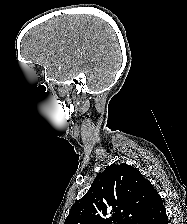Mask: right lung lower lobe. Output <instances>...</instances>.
I'll return each instance as SVG.
<instances>
[{"label":"right lung lower lobe","instance_id":"right-lung-lower-lobe-1","mask_svg":"<svg viewBox=\"0 0 187 224\" xmlns=\"http://www.w3.org/2000/svg\"><path fill=\"white\" fill-rule=\"evenodd\" d=\"M148 224H167V215H166V211L165 213L159 217L157 220H154L152 222H149Z\"/></svg>","mask_w":187,"mask_h":224}]
</instances>
